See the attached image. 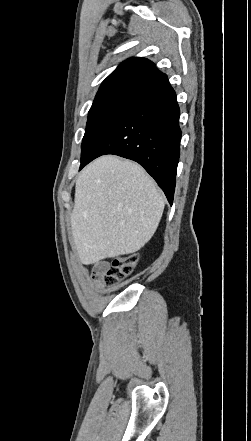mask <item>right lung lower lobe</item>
I'll return each instance as SVG.
<instances>
[{
	"mask_svg": "<svg viewBox=\"0 0 251 441\" xmlns=\"http://www.w3.org/2000/svg\"><path fill=\"white\" fill-rule=\"evenodd\" d=\"M179 115L175 91L166 79L106 131L80 169L105 154L134 160L156 180L172 205L180 155Z\"/></svg>",
	"mask_w": 251,
	"mask_h": 441,
	"instance_id": "obj_1",
	"label": "right lung lower lobe"
}]
</instances>
